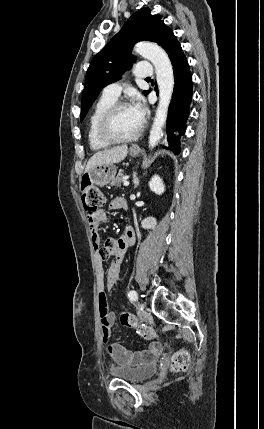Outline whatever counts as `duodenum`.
<instances>
[{
  "label": "duodenum",
  "mask_w": 264,
  "mask_h": 429,
  "mask_svg": "<svg viewBox=\"0 0 264 429\" xmlns=\"http://www.w3.org/2000/svg\"><path fill=\"white\" fill-rule=\"evenodd\" d=\"M126 208V204H123V209H125Z\"/></svg>",
  "instance_id": "obj_1"
}]
</instances>
